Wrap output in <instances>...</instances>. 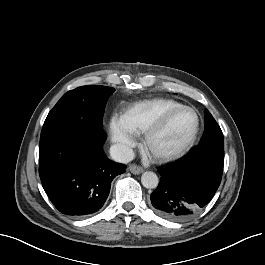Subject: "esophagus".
<instances>
[{
  "mask_svg": "<svg viewBox=\"0 0 265 265\" xmlns=\"http://www.w3.org/2000/svg\"><path fill=\"white\" fill-rule=\"evenodd\" d=\"M129 170L133 173V174H140L143 172V168L141 166H138L136 164H132L129 166Z\"/></svg>",
  "mask_w": 265,
  "mask_h": 265,
  "instance_id": "esophagus-1",
  "label": "esophagus"
}]
</instances>
